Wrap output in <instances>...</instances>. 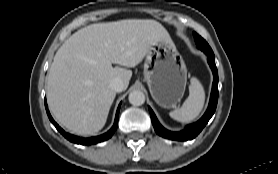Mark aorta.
<instances>
[{
  "label": "aorta",
  "instance_id": "obj_1",
  "mask_svg": "<svg viewBox=\"0 0 278 174\" xmlns=\"http://www.w3.org/2000/svg\"><path fill=\"white\" fill-rule=\"evenodd\" d=\"M128 99L130 104L140 106L145 102V95L140 90H134L129 94Z\"/></svg>",
  "mask_w": 278,
  "mask_h": 174
}]
</instances>
